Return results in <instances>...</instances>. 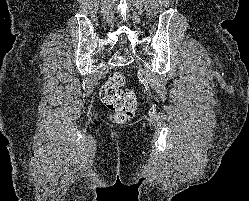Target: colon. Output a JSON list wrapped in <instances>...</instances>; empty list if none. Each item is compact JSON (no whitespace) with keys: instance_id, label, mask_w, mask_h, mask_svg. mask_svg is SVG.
<instances>
[{"instance_id":"5ec220e1","label":"colon","mask_w":249,"mask_h":201,"mask_svg":"<svg viewBox=\"0 0 249 201\" xmlns=\"http://www.w3.org/2000/svg\"><path fill=\"white\" fill-rule=\"evenodd\" d=\"M125 79L120 72H114L100 90L102 103L110 110L113 121L125 123L136 111V97L133 91L125 89Z\"/></svg>"}]
</instances>
